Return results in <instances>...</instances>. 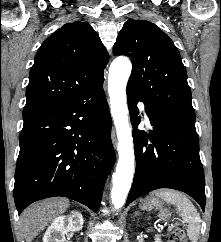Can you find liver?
<instances>
[{
  "mask_svg": "<svg viewBox=\"0 0 221 242\" xmlns=\"http://www.w3.org/2000/svg\"><path fill=\"white\" fill-rule=\"evenodd\" d=\"M65 198H52L33 204L21 215L22 235L26 242L33 239L58 215L69 208Z\"/></svg>",
  "mask_w": 221,
  "mask_h": 242,
  "instance_id": "obj_1",
  "label": "liver"
}]
</instances>
